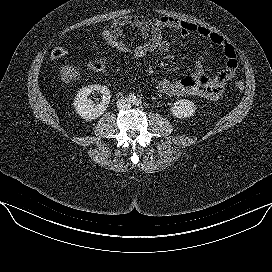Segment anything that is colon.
I'll list each match as a JSON object with an SVG mask.
<instances>
[{"label":"colon","instance_id":"1","mask_svg":"<svg viewBox=\"0 0 272 272\" xmlns=\"http://www.w3.org/2000/svg\"><path fill=\"white\" fill-rule=\"evenodd\" d=\"M100 37L107 46L137 59H143L149 55L155 54L151 45H146L141 42H132L124 35L111 32L107 29L101 33ZM66 55L67 50L62 47H56L51 52V57L55 60L61 59ZM87 69L94 73H102L106 69V62L101 59L92 60L88 62ZM235 87L238 91H242L244 89V83L242 81H237Z\"/></svg>","mask_w":272,"mask_h":272}]
</instances>
